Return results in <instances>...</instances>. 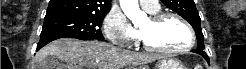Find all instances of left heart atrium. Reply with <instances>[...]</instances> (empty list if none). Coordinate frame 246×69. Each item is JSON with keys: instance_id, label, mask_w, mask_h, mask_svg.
<instances>
[{"instance_id": "1", "label": "left heart atrium", "mask_w": 246, "mask_h": 69, "mask_svg": "<svg viewBox=\"0 0 246 69\" xmlns=\"http://www.w3.org/2000/svg\"><path fill=\"white\" fill-rule=\"evenodd\" d=\"M134 35H135V36H137V35H138V33H137V32H135V33H134Z\"/></svg>"}]
</instances>
